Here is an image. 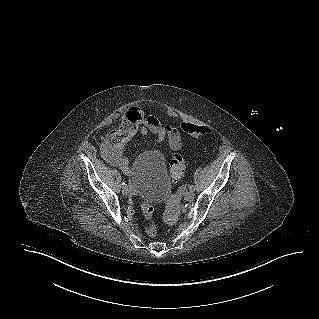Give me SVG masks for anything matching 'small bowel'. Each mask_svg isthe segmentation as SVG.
Returning a JSON list of instances; mask_svg holds the SVG:
<instances>
[{"mask_svg": "<svg viewBox=\"0 0 319 319\" xmlns=\"http://www.w3.org/2000/svg\"><path fill=\"white\" fill-rule=\"evenodd\" d=\"M137 131L145 136L153 135L157 141L167 139L173 150H179L182 146L177 129L163 124L157 116L147 115L139 107L123 111L103 124L101 135L105 141L101 144V155L108 164L124 173H129V163L124 149Z\"/></svg>", "mask_w": 319, "mask_h": 319, "instance_id": "c3829d8e", "label": "small bowel"}]
</instances>
